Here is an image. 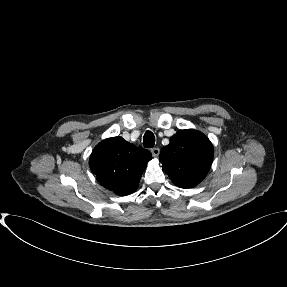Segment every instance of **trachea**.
Segmentation results:
<instances>
[{"label": "trachea", "instance_id": "3493384b", "mask_svg": "<svg viewBox=\"0 0 287 287\" xmlns=\"http://www.w3.org/2000/svg\"><path fill=\"white\" fill-rule=\"evenodd\" d=\"M143 145L146 148H152L155 145V136L151 131H146L143 137Z\"/></svg>", "mask_w": 287, "mask_h": 287}]
</instances>
